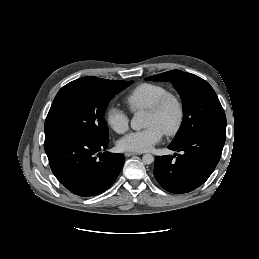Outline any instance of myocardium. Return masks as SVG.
I'll return each mask as SVG.
<instances>
[{"label": "myocardium", "mask_w": 259, "mask_h": 259, "mask_svg": "<svg viewBox=\"0 0 259 259\" xmlns=\"http://www.w3.org/2000/svg\"><path fill=\"white\" fill-rule=\"evenodd\" d=\"M169 104H172L175 107L176 117L173 124L163 132L166 135H173L178 132L184 120V106L177 95L169 92L164 94L152 107L148 109V112L153 115H160Z\"/></svg>", "instance_id": "myocardium-1"}]
</instances>
